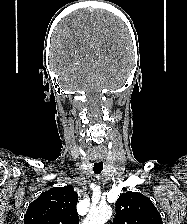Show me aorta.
Returning <instances> with one entry per match:
<instances>
[{
  "label": "aorta",
  "instance_id": "aorta-1",
  "mask_svg": "<svg viewBox=\"0 0 187 224\" xmlns=\"http://www.w3.org/2000/svg\"><path fill=\"white\" fill-rule=\"evenodd\" d=\"M111 216L112 208L110 206H99L89 211L82 224H105Z\"/></svg>",
  "mask_w": 187,
  "mask_h": 224
}]
</instances>
